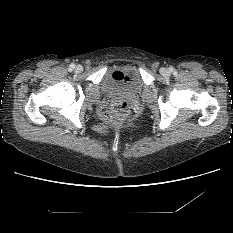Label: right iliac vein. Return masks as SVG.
Here are the masks:
<instances>
[{"label":"right iliac vein","instance_id":"63e3f726","mask_svg":"<svg viewBox=\"0 0 233 233\" xmlns=\"http://www.w3.org/2000/svg\"><path fill=\"white\" fill-rule=\"evenodd\" d=\"M83 70V67L81 65H77L76 68H75V71L76 72H81Z\"/></svg>","mask_w":233,"mask_h":233}]
</instances>
